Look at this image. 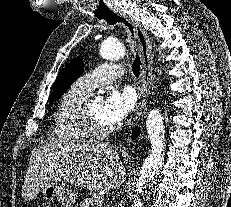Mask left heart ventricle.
Instances as JSON below:
<instances>
[{
	"label": "left heart ventricle",
	"mask_w": 231,
	"mask_h": 207,
	"mask_svg": "<svg viewBox=\"0 0 231 207\" xmlns=\"http://www.w3.org/2000/svg\"><path fill=\"white\" fill-rule=\"evenodd\" d=\"M90 113L94 117L96 121L103 125H107L102 118V110H103V103L102 102H97L93 101L89 105Z\"/></svg>",
	"instance_id": "1"
}]
</instances>
